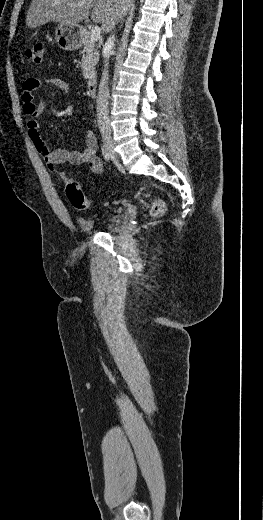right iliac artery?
Here are the masks:
<instances>
[{"label":"right iliac artery","instance_id":"82829eb1","mask_svg":"<svg viewBox=\"0 0 263 520\" xmlns=\"http://www.w3.org/2000/svg\"><path fill=\"white\" fill-rule=\"evenodd\" d=\"M101 151H102V155L104 157V159L106 161H109L110 159V153L108 152V150L106 149L105 145H101Z\"/></svg>","mask_w":263,"mask_h":520}]
</instances>
